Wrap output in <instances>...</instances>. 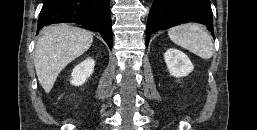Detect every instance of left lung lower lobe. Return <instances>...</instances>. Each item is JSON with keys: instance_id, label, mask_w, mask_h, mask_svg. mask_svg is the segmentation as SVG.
Returning <instances> with one entry per match:
<instances>
[{"instance_id": "obj_1", "label": "left lung lower lobe", "mask_w": 257, "mask_h": 130, "mask_svg": "<svg viewBox=\"0 0 257 130\" xmlns=\"http://www.w3.org/2000/svg\"><path fill=\"white\" fill-rule=\"evenodd\" d=\"M186 22L206 24L213 34L209 0H154L146 28V45L152 33Z\"/></svg>"}]
</instances>
